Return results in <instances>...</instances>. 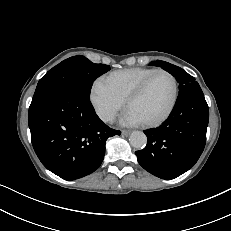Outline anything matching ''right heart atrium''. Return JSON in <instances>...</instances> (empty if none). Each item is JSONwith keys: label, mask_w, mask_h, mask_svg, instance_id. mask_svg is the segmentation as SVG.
Instances as JSON below:
<instances>
[{"label": "right heart atrium", "mask_w": 231, "mask_h": 231, "mask_svg": "<svg viewBox=\"0 0 231 231\" xmlns=\"http://www.w3.org/2000/svg\"><path fill=\"white\" fill-rule=\"evenodd\" d=\"M90 101L100 119L107 123L112 122L124 106V102L101 81L93 84L90 92Z\"/></svg>", "instance_id": "right-heart-atrium-1"}]
</instances>
